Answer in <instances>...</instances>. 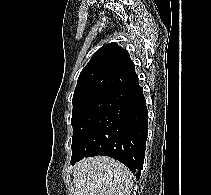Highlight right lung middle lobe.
Segmentation results:
<instances>
[{
    "mask_svg": "<svg viewBox=\"0 0 211 195\" xmlns=\"http://www.w3.org/2000/svg\"><path fill=\"white\" fill-rule=\"evenodd\" d=\"M112 93L108 90H90L73 95L72 152L105 107Z\"/></svg>",
    "mask_w": 211,
    "mask_h": 195,
    "instance_id": "obj_1",
    "label": "right lung middle lobe"
}]
</instances>
